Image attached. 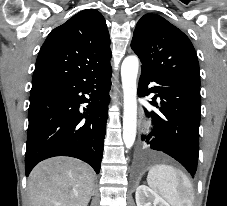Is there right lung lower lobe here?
I'll use <instances>...</instances> for the list:
<instances>
[{"label": "right lung lower lobe", "instance_id": "obj_1", "mask_svg": "<svg viewBox=\"0 0 227 206\" xmlns=\"http://www.w3.org/2000/svg\"><path fill=\"white\" fill-rule=\"evenodd\" d=\"M110 63L31 92L25 173L53 156H71L100 171L108 118ZM89 95V99L85 97ZM89 103L87 108L80 104Z\"/></svg>", "mask_w": 227, "mask_h": 206}]
</instances>
